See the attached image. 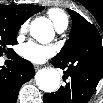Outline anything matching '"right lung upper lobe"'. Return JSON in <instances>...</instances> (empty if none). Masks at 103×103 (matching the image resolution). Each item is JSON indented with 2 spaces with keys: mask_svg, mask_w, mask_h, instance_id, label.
I'll use <instances>...</instances> for the list:
<instances>
[{
  "mask_svg": "<svg viewBox=\"0 0 103 103\" xmlns=\"http://www.w3.org/2000/svg\"><path fill=\"white\" fill-rule=\"evenodd\" d=\"M43 8V6L30 4L0 5V16L23 24L30 16L42 11Z\"/></svg>",
  "mask_w": 103,
  "mask_h": 103,
  "instance_id": "obj_1",
  "label": "right lung upper lobe"
}]
</instances>
